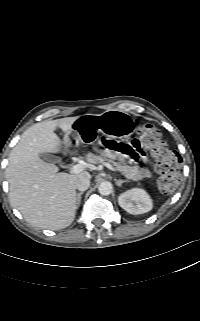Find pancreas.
<instances>
[{
	"label": "pancreas",
	"mask_w": 200,
	"mask_h": 321,
	"mask_svg": "<svg viewBox=\"0 0 200 321\" xmlns=\"http://www.w3.org/2000/svg\"><path fill=\"white\" fill-rule=\"evenodd\" d=\"M87 162L92 164H100L108 160L116 169H118L126 178L132 180H140L145 177H151V173L146 168H139V166H129L124 163L122 159L110 158L108 153L102 152L101 155L90 153L86 157Z\"/></svg>",
	"instance_id": "1"
}]
</instances>
